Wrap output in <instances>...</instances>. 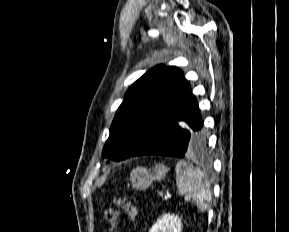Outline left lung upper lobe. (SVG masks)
I'll use <instances>...</instances> for the list:
<instances>
[{
	"instance_id": "1",
	"label": "left lung upper lobe",
	"mask_w": 289,
	"mask_h": 232,
	"mask_svg": "<svg viewBox=\"0 0 289 232\" xmlns=\"http://www.w3.org/2000/svg\"><path fill=\"white\" fill-rule=\"evenodd\" d=\"M190 84L174 66L148 70L126 92L110 128L103 157L121 161L169 123L189 96Z\"/></svg>"
}]
</instances>
